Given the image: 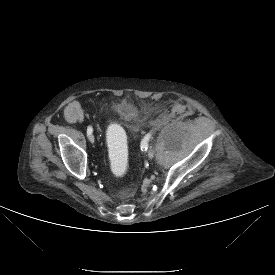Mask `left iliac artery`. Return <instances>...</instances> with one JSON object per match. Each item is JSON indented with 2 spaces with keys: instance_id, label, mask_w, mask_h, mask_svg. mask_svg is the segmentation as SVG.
Here are the masks:
<instances>
[{
  "instance_id": "44dca946",
  "label": "left iliac artery",
  "mask_w": 275,
  "mask_h": 275,
  "mask_svg": "<svg viewBox=\"0 0 275 275\" xmlns=\"http://www.w3.org/2000/svg\"><path fill=\"white\" fill-rule=\"evenodd\" d=\"M150 136H151V134H148V135H147V138L149 139V138H150ZM145 150H147V148H145Z\"/></svg>"
}]
</instances>
